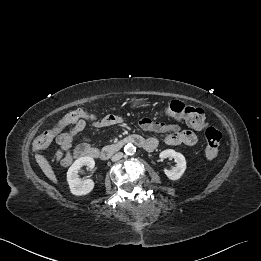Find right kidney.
<instances>
[{
    "label": "right kidney",
    "instance_id": "obj_1",
    "mask_svg": "<svg viewBox=\"0 0 261 261\" xmlns=\"http://www.w3.org/2000/svg\"><path fill=\"white\" fill-rule=\"evenodd\" d=\"M82 166H87L88 169H93L95 166V161L92 157L86 156L77 159L67 172V181L72 194L76 196H82L89 194L95 183L92 179L82 180L79 178L78 173Z\"/></svg>",
    "mask_w": 261,
    "mask_h": 261
}]
</instances>
